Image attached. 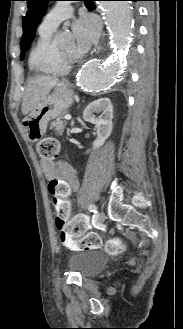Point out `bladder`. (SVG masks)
Here are the masks:
<instances>
[{
    "instance_id": "31cf9c89",
    "label": "bladder",
    "mask_w": 183,
    "mask_h": 329,
    "mask_svg": "<svg viewBox=\"0 0 183 329\" xmlns=\"http://www.w3.org/2000/svg\"><path fill=\"white\" fill-rule=\"evenodd\" d=\"M106 264L107 259L94 250L73 253L68 260L69 269L83 278L97 274Z\"/></svg>"
}]
</instances>
